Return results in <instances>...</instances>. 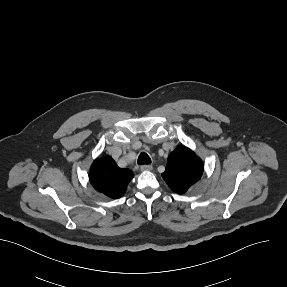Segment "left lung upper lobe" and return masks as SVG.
Masks as SVG:
<instances>
[{"label":"left lung upper lobe","instance_id":"5c2ea615","mask_svg":"<svg viewBox=\"0 0 287 287\" xmlns=\"http://www.w3.org/2000/svg\"><path fill=\"white\" fill-rule=\"evenodd\" d=\"M203 162L189 148L177 147L168 157L163 179L176 193H185L203 173Z\"/></svg>","mask_w":287,"mask_h":287}]
</instances>
